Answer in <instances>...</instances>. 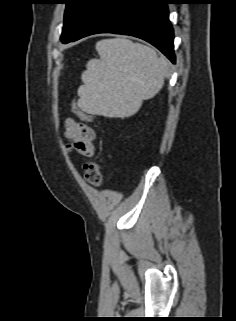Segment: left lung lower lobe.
Listing matches in <instances>:
<instances>
[{"label":"left lung lower lobe","instance_id":"1","mask_svg":"<svg viewBox=\"0 0 236 321\" xmlns=\"http://www.w3.org/2000/svg\"><path fill=\"white\" fill-rule=\"evenodd\" d=\"M171 3L172 0H98L78 33L66 43L97 33L132 35L151 43L175 63L167 7Z\"/></svg>","mask_w":236,"mask_h":321}]
</instances>
